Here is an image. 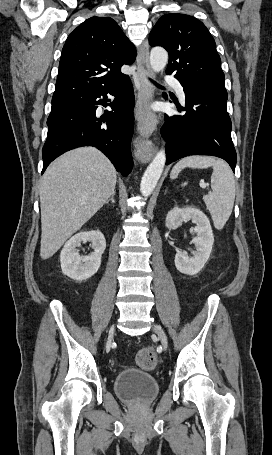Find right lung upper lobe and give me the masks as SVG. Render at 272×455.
Returning a JSON list of instances; mask_svg holds the SVG:
<instances>
[{
  "label": "right lung upper lobe",
  "instance_id": "right-lung-upper-lobe-1",
  "mask_svg": "<svg viewBox=\"0 0 272 455\" xmlns=\"http://www.w3.org/2000/svg\"><path fill=\"white\" fill-rule=\"evenodd\" d=\"M134 45L112 18L91 17L68 36L52 105L122 82L121 66L134 62Z\"/></svg>",
  "mask_w": 272,
  "mask_h": 455
}]
</instances>
